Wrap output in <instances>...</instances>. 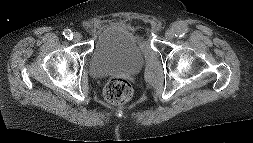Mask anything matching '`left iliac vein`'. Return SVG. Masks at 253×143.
<instances>
[{
	"instance_id": "4c4485c4",
	"label": "left iliac vein",
	"mask_w": 253,
	"mask_h": 143,
	"mask_svg": "<svg viewBox=\"0 0 253 143\" xmlns=\"http://www.w3.org/2000/svg\"><path fill=\"white\" fill-rule=\"evenodd\" d=\"M174 31L173 30H167L166 32H165V37H166V39L167 40H172L173 38H174Z\"/></svg>"
}]
</instances>
